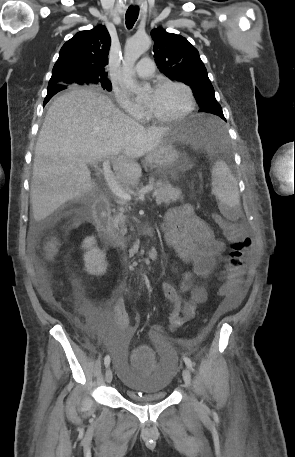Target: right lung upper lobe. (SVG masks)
<instances>
[{
    "label": "right lung upper lobe",
    "instance_id": "obj_1",
    "mask_svg": "<svg viewBox=\"0 0 295 457\" xmlns=\"http://www.w3.org/2000/svg\"><path fill=\"white\" fill-rule=\"evenodd\" d=\"M110 44V35L103 25L76 33L62 46L48 87L66 88L88 84L92 79L108 80L105 66Z\"/></svg>",
    "mask_w": 295,
    "mask_h": 457
}]
</instances>
